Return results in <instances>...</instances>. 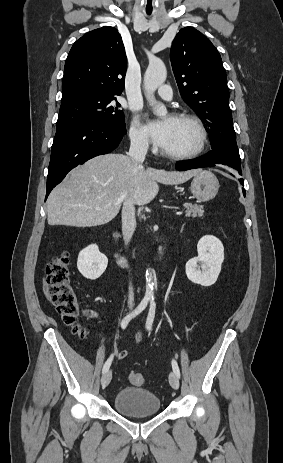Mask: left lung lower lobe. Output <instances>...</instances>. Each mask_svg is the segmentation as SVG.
Instances as JSON below:
<instances>
[{"label":"left lung lower lobe","mask_w":283,"mask_h":463,"mask_svg":"<svg viewBox=\"0 0 283 463\" xmlns=\"http://www.w3.org/2000/svg\"><path fill=\"white\" fill-rule=\"evenodd\" d=\"M215 164H224L234 169L240 170L241 160H238L224 152L211 150L207 154L197 159L177 162L176 169L180 171H185V170L195 169V168L211 167V166H215ZM239 181L241 182L242 185H244L243 179H239ZM243 194L245 196L244 189H243Z\"/></svg>","instance_id":"1"}]
</instances>
